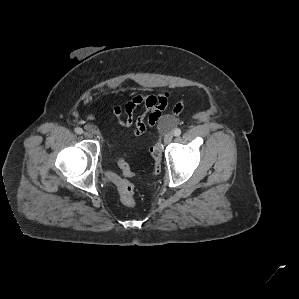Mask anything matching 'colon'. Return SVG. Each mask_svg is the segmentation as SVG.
<instances>
[{"label": "colon", "mask_w": 299, "mask_h": 299, "mask_svg": "<svg viewBox=\"0 0 299 299\" xmlns=\"http://www.w3.org/2000/svg\"><path fill=\"white\" fill-rule=\"evenodd\" d=\"M174 124V121L170 117H166L162 120L161 126L170 127ZM151 157L153 160V172L157 173L159 171L160 163L163 157V149L159 143L153 144L150 149ZM118 167L125 177H133L134 173L130 167L129 162L126 157H122L118 161ZM109 180L116 185L119 191V196L121 202L128 207L134 206L135 198H134V186L133 184L124 177L120 175L110 172L108 173Z\"/></svg>", "instance_id": "obj_1"}]
</instances>
